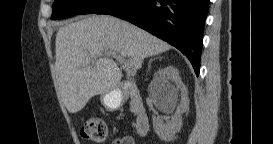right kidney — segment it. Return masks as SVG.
<instances>
[{
    "mask_svg": "<svg viewBox=\"0 0 273 144\" xmlns=\"http://www.w3.org/2000/svg\"><path fill=\"white\" fill-rule=\"evenodd\" d=\"M153 82L159 87L160 101L166 103L170 99H176L178 89L183 94V97L188 102L187 89L179 77L177 69L168 66L160 69L155 73ZM171 82L177 84V89L172 85ZM183 110L179 109L170 119L163 123V118L160 116H152L153 128L158 137L166 142L172 141L175 138V134L178 133L182 128V115Z\"/></svg>",
    "mask_w": 273,
    "mask_h": 144,
    "instance_id": "obj_1",
    "label": "right kidney"
}]
</instances>
